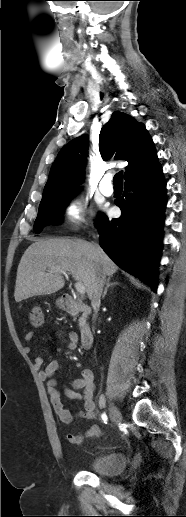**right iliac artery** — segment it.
<instances>
[{
  "instance_id": "right-iliac-artery-1",
  "label": "right iliac artery",
  "mask_w": 186,
  "mask_h": 517,
  "mask_svg": "<svg viewBox=\"0 0 186 517\" xmlns=\"http://www.w3.org/2000/svg\"><path fill=\"white\" fill-rule=\"evenodd\" d=\"M101 418H102V420H103L105 423H107V421H108V417H107V415H106L105 413H103V414L101 415Z\"/></svg>"
}]
</instances>
